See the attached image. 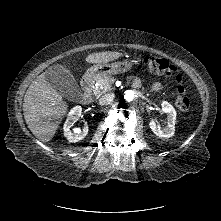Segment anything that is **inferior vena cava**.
Returning a JSON list of instances; mask_svg holds the SVG:
<instances>
[{"label":"inferior vena cava","instance_id":"1","mask_svg":"<svg viewBox=\"0 0 221 221\" xmlns=\"http://www.w3.org/2000/svg\"><path fill=\"white\" fill-rule=\"evenodd\" d=\"M114 97H115V95L113 93L105 94L99 99V103L101 105L110 104L114 100Z\"/></svg>","mask_w":221,"mask_h":221}]
</instances>
